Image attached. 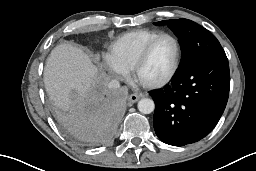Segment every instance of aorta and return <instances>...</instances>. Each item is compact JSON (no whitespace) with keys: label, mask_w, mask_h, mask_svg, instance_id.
Segmentation results:
<instances>
[{"label":"aorta","mask_w":256,"mask_h":171,"mask_svg":"<svg viewBox=\"0 0 256 171\" xmlns=\"http://www.w3.org/2000/svg\"><path fill=\"white\" fill-rule=\"evenodd\" d=\"M155 104L152 99L143 98L138 102V110L143 114H150L154 111Z\"/></svg>","instance_id":"obj_1"}]
</instances>
